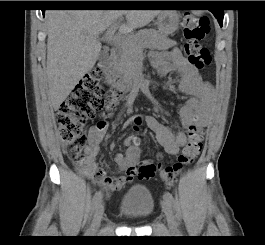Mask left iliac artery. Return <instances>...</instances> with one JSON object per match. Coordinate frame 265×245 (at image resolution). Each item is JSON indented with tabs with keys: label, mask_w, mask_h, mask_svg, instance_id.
Here are the masks:
<instances>
[{
	"label": "left iliac artery",
	"mask_w": 265,
	"mask_h": 245,
	"mask_svg": "<svg viewBox=\"0 0 265 245\" xmlns=\"http://www.w3.org/2000/svg\"><path fill=\"white\" fill-rule=\"evenodd\" d=\"M164 198L170 203V205L175 206V200L170 192L166 191L164 193Z\"/></svg>",
	"instance_id": "left-iliac-artery-1"
}]
</instances>
